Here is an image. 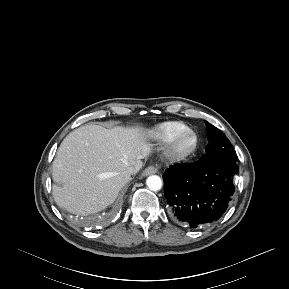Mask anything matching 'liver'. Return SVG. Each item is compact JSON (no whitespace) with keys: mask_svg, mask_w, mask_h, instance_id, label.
<instances>
[{"mask_svg":"<svg viewBox=\"0 0 289 289\" xmlns=\"http://www.w3.org/2000/svg\"><path fill=\"white\" fill-rule=\"evenodd\" d=\"M151 148L142 126H80L64 138L53 161L55 202L82 216L103 210L129 181L124 171L138 172Z\"/></svg>","mask_w":289,"mask_h":289,"instance_id":"liver-1","label":"liver"}]
</instances>
